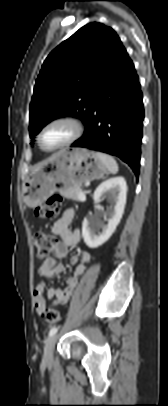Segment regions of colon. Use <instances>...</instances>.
<instances>
[{
  "label": "colon",
  "mask_w": 168,
  "mask_h": 406,
  "mask_svg": "<svg viewBox=\"0 0 168 406\" xmlns=\"http://www.w3.org/2000/svg\"><path fill=\"white\" fill-rule=\"evenodd\" d=\"M61 204L62 198L60 196H50L43 205L35 209V214L40 218H52L59 212ZM33 242L36 248V257L38 259H45L57 243L53 236L41 232L34 235ZM41 314L43 319L50 324L58 323L60 320L58 311L52 307H44L41 310Z\"/></svg>",
  "instance_id": "5ec220e1"
}]
</instances>
